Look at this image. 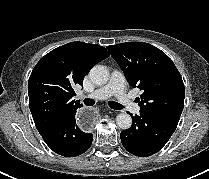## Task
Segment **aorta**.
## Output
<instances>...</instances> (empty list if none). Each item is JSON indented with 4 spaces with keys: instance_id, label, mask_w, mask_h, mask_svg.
<instances>
[{
    "instance_id": "1",
    "label": "aorta",
    "mask_w": 209,
    "mask_h": 179,
    "mask_svg": "<svg viewBox=\"0 0 209 179\" xmlns=\"http://www.w3.org/2000/svg\"><path fill=\"white\" fill-rule=\"evenodd\" d=\"M90 80L96 85H104L109 80V72L102 65L94 66L89 72ZM116 123L119 128L126 130L132 125V118L127 113H120L116 117Z\"/></svg>"
}]
</instances>
